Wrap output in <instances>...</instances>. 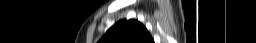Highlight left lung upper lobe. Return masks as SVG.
Here are the masks:
<instances>
[{"mask_svg": "<svg viewBox=\"0 0 256 43\" xmlns=\"http://www.w3.org/2000/svg\"><path fill=\"white\" fill-rule=\"evenodd\" d=\"M99 43H154V41L140 22L125 19L111 27Z\"/></svg>", "mask_w": 256, "mask_h": 43, "instance_id": "obj_1", "label": "left lung upper lobe"}]
</instances>
